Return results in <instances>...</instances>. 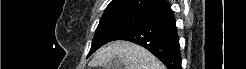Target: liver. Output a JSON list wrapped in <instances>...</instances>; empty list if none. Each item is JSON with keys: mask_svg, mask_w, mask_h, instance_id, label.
Masks as SVG:
<instances>
[{"mask_svg": "<svg viewBox=\"0 0 246 69\" xmlns=\"http://www.w3.org/2000/svg\"><path fill=\"white\" fill-rule=\"evenodd\" d=\"M116 59L119 69H165L164 65L148 50L127 41H114L100 49L94 62L106 67Z\"/></svg>", "mask_w": 246, "mask_h": 69, "instance_id": "6515ba94", "label": "liver"}]
</instances>
